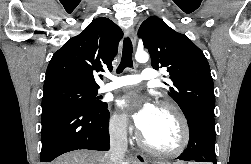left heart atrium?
I'll list each match as a JSON object with an SVG mask.
<instances>
[{
	"instance_id": "39dd6f15",
	"label": "left heart atrium",
	"mask_w": 251,
	"mask_h": 164,
	"mask_svg": "<svg viewBox=\"0 0 251 164\" xmlns=\"http://www.w3.org/2000/svg\"><path fill=\"white\" fill-rule=\"evenodd\" d=\"M117 105L121 110L128 113L142 134H145L151 127L158 110L150 101L141 100L136 92L118 99Z\"/></svg>"
}]
</instances>
